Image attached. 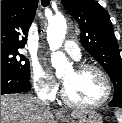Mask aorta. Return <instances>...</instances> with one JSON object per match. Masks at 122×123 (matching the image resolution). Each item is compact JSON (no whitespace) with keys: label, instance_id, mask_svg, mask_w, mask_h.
I'll use <instances>...</instances> for the list:
<instances>
[{"label":"aorta","instance_id":"762f6f07","mask_svg":"<svg viewBox=\"0 0 122 123\" xmlns=\"http://www.w3.org/2000/svg\"><path fill=\"white\" fill-rule=\"evenodd\" d=\"M66 19L63 15H56L50 21L47 27V40L50 49L53 51L51 55L52 66L56 69V74L62 72L69 67L66 56L57 51L63 44L66 35Z\"/></svg>","mask_w":122,"mask_h":123}]
</instances>
